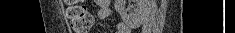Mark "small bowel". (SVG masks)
<instances>
[{"label":"small bowel","mask_w":235,"mask_h":33,"mask_svg":"<svg viewBox=\"0 0 235 33\" xmlns=\"http://www.w3.org/2000/svg\"><path fill=\"white\" fill-rule=\"evenodd\" d=\"M99 9H98V17L100 19H107L111 15L110 2L109 0H97L96 1ZM131 30L128 25L123 22H119L116 26L115 33H130Z\"/></svg>","instance_id":"c3829d8e"}]
</instances>
